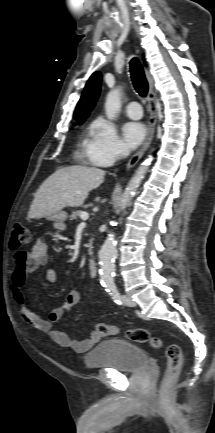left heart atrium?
<instances>
[{"label": "left heart atrium", "instance_id": "1", "mask_svg": "<svg viewBox=\"0 0 215 433\" xmlns=\"http://www.w3.org/2000/svg\"><path fill=\"white\" fill-rule=\"evenodd\" d=\"M145 127L139 122H128L122 128L123 140L128 149L136 148L145 137Z\"/></svg>", "mask_w": 215, "mask_h": 433}]
</instances>
